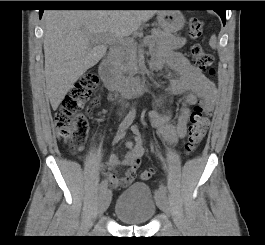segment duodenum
<instances>
[{
  "mask_svg": "<svg viewBox=\"0 0 265 245\" xmlns=\"http://www.w3.org/2000/svg\"><path fill=\"white\" fill-rule=\"evenodd\" d=\"M99 75L106 88L115 95H122L124 98L144 90L148 82L141 77L121 78L115 73L114 62L107 58L98 67Z\"/></svg>",
  "mask_w": 265,
  "mask_h": 245,
  "instance_id": "410a0bca",
  "label": "duodenum"
}]
</instances>
